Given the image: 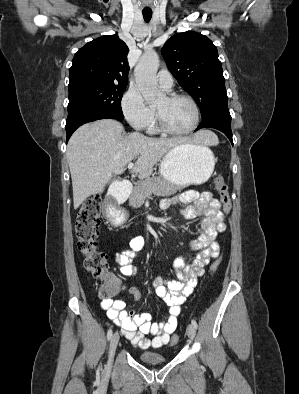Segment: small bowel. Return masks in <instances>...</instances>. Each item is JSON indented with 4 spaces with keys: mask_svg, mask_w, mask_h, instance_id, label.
I'll return each instance as SVG.
<instances>
[{
    "mask_svg": "<svg viewBox=\"0 0 299 394\" xmlns=\"http://www.w3.org/2000/svg\"><path fill=\"white\" fill-rule=\"evenodd\" d=\"M187 205L181 214L185 219H195L202 216L201 234L189 242V248L197 251L194 259L188 263L187 256L177 257L173 262L177 279L167 280L160 276L153 279L152 286L158 298L168 307V316L160 323L152 322V315L148 312L134 314L126 310L123 300H104L101 307L107 316L117 326L135 347L142 350L149 348L160 349L168 344L171 335L177 327V319L182 311V304L197 284V279L204 274V266L219 256L220 247L216 241L217 235L226 230L225 214L221 210L220 202L210 192L199 193L194 190L182 192L162 202L167 209L175 205ZM145 238L141 235L133 237L128 246L115 253V260L123 275L135 272L133 261L138 252L144 247ZM122 291L127 292L133 300L141 297L135 287L122 285ZM152 335L150 339L147 335Z\"/></svg>",
    "mask_w": 299,
    "mask_h": 394,
    "instance_id": "obj_1",
    "label": "small bowel"
}]
</instances>
